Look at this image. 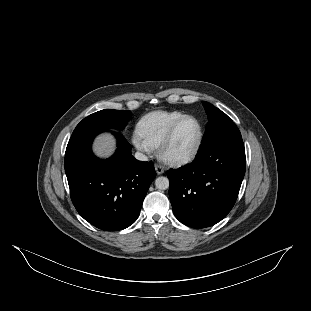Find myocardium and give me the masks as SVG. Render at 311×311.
<instances>
[{"label": "myocardium", "instance_id": "myocardium-1", "mask_svg": "<svg viewBox=\"0 0 311 311\" xmlns=\"http://www.w3.org/2000/svg\"><path fill=\"white\" fill-rule=\"evenodd\" d=\"M188 120H195L198 123L199 127V133H198V139L197 143L194 147V149L187 155L184 156H176V157H167L166 152L168 148L172 145L174 142V139L176 137V134L179 130V128ZM203 138H204V131H203V125L202 122L195 116L193 115H187L180 120H178L173 127L170 129L168 134L165 136V138L161 141V143L157 147V152L160 160H162L164 163L170 166H180L187 164L191 161H193L197 155L200 152V149L202 147L203 143Z\"/></svg>", "mask_w": 311, "mask_h": 311}]
</instances>
